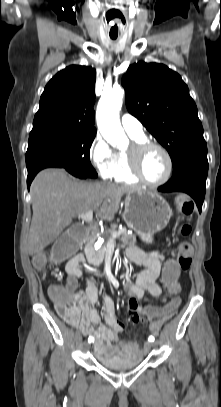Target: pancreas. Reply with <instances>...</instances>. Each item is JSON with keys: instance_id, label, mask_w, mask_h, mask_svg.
I'll return each mask as SVG.
<instances>
[{"instance_id": "1", "label": "pancreas", "mask_w": 221, "mask_h": 407, "mask_svg": "<svg viewBox=\"0 0 221 407\" xmlns=\"http://www.w3.org/2000/svg\"><path fill=\"white\" fill-rule=\"evenodd\" d=\"M115 231L117 233H120L118 236V239L122 242V246H135L136 244V236L134 234H128L125 230H110L106 231L103 234H100L96 229H92L90 236L87 240L86 244V256L89 260L90 263L93 265H99L100 263L103 262L105 258V253H106V244L110 240V234ZM102 236L105 239V244L102 246L101 249L95 250L93 248L95 240L99 237Z\"/></svg>"}]
</instances>
